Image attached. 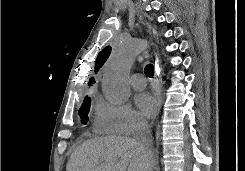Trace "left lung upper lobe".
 Masks as SVG:
<instances>
[{"label":"left lung upper lobe","instance_id":"1","mask_svg":"<svg viewBox=\"0 0 245 171\" xmlns=\"http://www.w3.org/2000/svg\"><path fill=\"white\" fill-rule=\"evenodd\" d=\"M111 52V47L107 46L105 47L97 56L96 63H95V72L99 70L100 67L104 64V62L107 60Z\"/></svg>","mask_w":245,"mask_h":171}]
</instances>
